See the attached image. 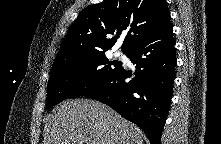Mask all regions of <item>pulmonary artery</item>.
I'll return each instance as SVG.
<instances>
[{
	"label": "pulmonary artery",
	"mask_w": 221,
	"mask_h": 144,
	"mask_svg": "<svg viewBox=\"0 0 221 144\" xmlns=\"http://www.w3.org/2000/svg\"><path fill=\"white\" fill-rule=\"evenodd\" d=\"M117 55H118V56H121V55H122V53H121V52H117Z\"/></svg>",
	"instance_id": "e3ab8cb5"
}]
</instances>
